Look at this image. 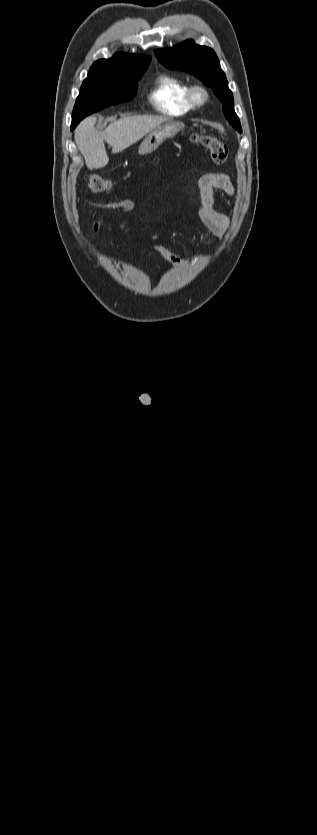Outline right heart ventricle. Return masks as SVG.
<instances>
[{
  "mask_svg": "<svg viewBox=\"0 0 317 835\" xmlns=\"http://www.w3.org/2000/svg\"><path fill=\"white\" fill-rule=\"evenodd\" d=\"M188 87L182 78L163 74L155 80L148 97L158 112L170 116L182 115L193 109L187 100Z\"/></svg>",
  "mask_w": 317,
  "mask_h": 835,
  "instance_id": "right-heart-ventricle-1",
  "label": "right heart ventricle"
}]
</instances>
